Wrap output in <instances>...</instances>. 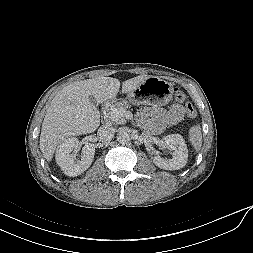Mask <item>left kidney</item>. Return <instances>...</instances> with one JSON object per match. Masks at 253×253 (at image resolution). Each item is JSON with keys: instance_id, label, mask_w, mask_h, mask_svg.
I'll list each match as a JSON object with an SVG mask.
<instances>
[{"instance_id": "1", "label": "left kidney", "mask_w": 253, "mask_h": 253, "mask_svg": "<svg viewBox=\"0 0 253 253\" xmlns=\"http://www.w3.org/2000/svg\"><path fill=\"white\" fill-rule=\"evenodd\" d=\"M162 144L172 150V159H164L159 155L153 157V163L161 169L178 170L187 163L188 149L180 134H171L162 139Z\"/></svg>"}]
</instances>
